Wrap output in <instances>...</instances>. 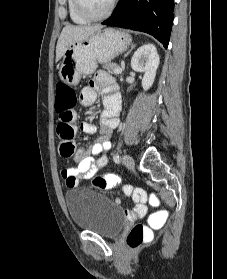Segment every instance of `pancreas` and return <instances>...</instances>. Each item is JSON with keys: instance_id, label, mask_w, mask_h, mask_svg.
Here are the masks:
<instances>
[{"instance_id": "1", "label": "pancreas", "mask_w": 227, "mask_h": 279, "mask_svg": "<svg viewBox=\"0 0 227 279\" xmlns=\"http://www.w3.org/2000/svg\"><path fill=\"white\" fill-rule=\"evenodd\" d=\"M117 67H119V66L116 63L108 62V63L103 64V68L105 70H107L109 73L115 74V75H118V73L115 72V69Z\"/></svg>"}]
</instances>
